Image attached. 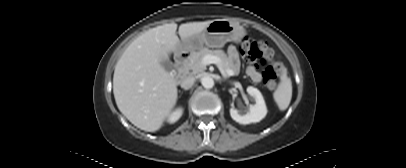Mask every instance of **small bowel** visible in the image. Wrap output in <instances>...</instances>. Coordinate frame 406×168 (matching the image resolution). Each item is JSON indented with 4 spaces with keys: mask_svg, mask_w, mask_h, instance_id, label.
Returning <instances> with one entry per match:
<instances>
[{
    "mask_svg": "<svg viewBox=\"0 0 406 168\" xmlns=\"http://www.w3.org/2000/svg\"><path fill=\"white\" fill-rule=\"evenodd\" d=\"M227 58L231 64L232 71L236 72L238 70V51L235 46H229L227 49ZM247 74L251 77V79L258 83L261 81L262 76L261 74L255 69L253 66L247 67Z\"/></svg>",
    "mask_w": 406,
    "mask_h": 168,
    "instance_id": "obj_1",
    "label": "small bowel"
}]
</instances>
